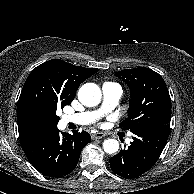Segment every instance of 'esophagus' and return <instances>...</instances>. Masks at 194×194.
Returning <instances> with one entry per match:
<instances>
[{"mask_svg": "<svg viewBox=\"0 0 194 194\" xmlns=\"http://www.w3.org/2000/svg\"><path fill=\"white\" fill-rule=\"evenodd\" d=\"M104 136H105V134L102 133V132H96V133H94V134L91 135L92 139H101Z\"/></svg>", "mask_w": 194, "mask_h": 194, "instance_id": "obj_1", "label": "esophagus"}]
</instances>
